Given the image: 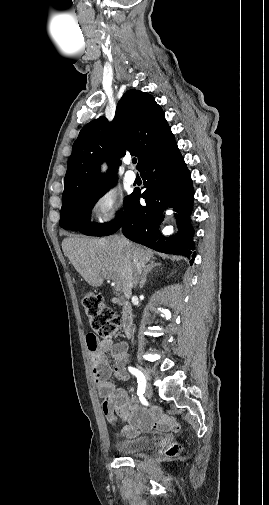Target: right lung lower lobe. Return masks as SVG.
I'll return each mask as SVG.
<instances>
[{
    "label": "right lung lower lobe",
    "mask_w": 269,
    "mask_h": 505,
    "mask_svg": "<svg viewBox=\"0 0 269 505\" xmlns=\"http://www.w3.org/2000/svg\"><path fill=\"white\" fill-rule=\"evenodd\" d=\"M140 174L146 190L142 194H131L118 229L122 228L123 234L130 240L156 251L192 258V264L195 246L188 219L193 208L194 190L190 172L176 142L145 163ZM140 197L145 199L146 205H140ZM168 206L174 207L178 213L180 230L175 236L165 237L158 231V226Z\"/></svg>",
    "instance_id": "obj_1"
}]
</instances>
